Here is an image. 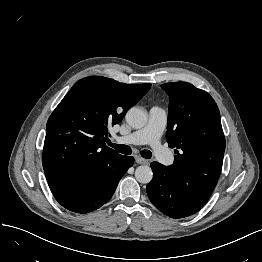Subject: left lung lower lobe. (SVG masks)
I'll return each instance as SVG.
<instances>
[{"mask_svg":"<svg viewBox=\"0 0 262 262\" xmlns=\"http://www.w3.org/2000/svg\"><path fill=\"white\" fill-rule=\"evenodd\" d=\"M153 179L146 191L151 203L171 218H185L197 213L202 206L195 203L177 185L171 182L168 168L152 162Z\"/></svg>","mask_w":262,"mask_h":262,"instance_id":"0a47b994","label":"left lung lower lobe"}]
</instances>
